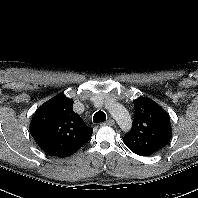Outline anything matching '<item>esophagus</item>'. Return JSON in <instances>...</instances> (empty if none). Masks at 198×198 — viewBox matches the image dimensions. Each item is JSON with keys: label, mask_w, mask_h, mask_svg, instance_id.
Returning <instances> with one entry per match:
<instances>
[{"label": "esophagus", "mask_w": 198, "mask_h": 198, "mask_svg": "<svg viewBox=\"0 0 198 198\" xmlns=\"http://www.w3.org/2000/svg\"><path fill=\"white\" fill-rule=\"evenodd\" d=\"M115 124L113 119H108L106 122L101 123V125L113 126Z\"/></svg>", "instance_id": "esophagus-1"}]
</instances>
